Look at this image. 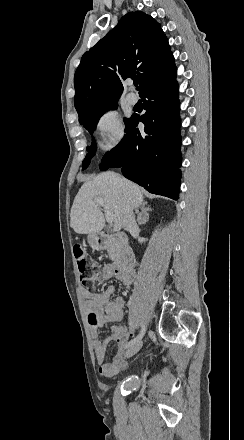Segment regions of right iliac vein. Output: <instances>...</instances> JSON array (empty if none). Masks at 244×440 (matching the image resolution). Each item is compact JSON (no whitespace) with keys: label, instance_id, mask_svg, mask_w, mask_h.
Segmentation results:
<instances>
[{"label":"right iliac vein","instance_id":"63e3f726","mask_svg":"<svg viewBox=\"0 0 244 440\" xmlns=\"http://www.w3.org/2000/svg\"><path fill=\"white\" fill-rule=\"evenodd\" d=\"M142 347V341H138L134 345H132L129 349L126 350L124 356L126 358H130L135 355Z\"/></svg>","mask_w":244,"mask_h":440}]
</instances>
